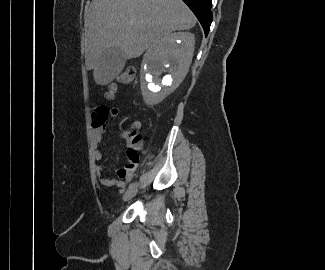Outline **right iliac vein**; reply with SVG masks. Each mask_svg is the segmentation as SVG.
<instances>
[{
  "label": "right iliac vein",
  "mask_w": 325,
  "mask_h": 270,
  "mask_svg": "<svg viewBox=\"0 0 325 270\" xmlns=\"http://www.w3.org/2000/svg\"><path fill=\"white\" fill-rule=\"evenodd\" d=\"M137 192H138L137 187L128 189L123 195V200L128 201L132 199L137 194Z\"/></svg>",
  "instance_id": "right-iliac-vein-1"
}]
</instances>
